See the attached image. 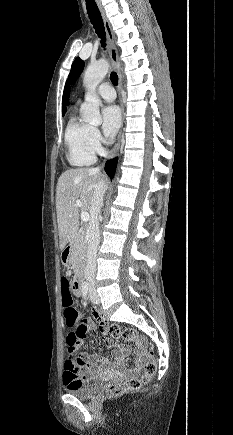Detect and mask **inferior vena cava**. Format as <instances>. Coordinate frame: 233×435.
<instances>
[{"label": "inferior vena cava", "mask_w": 233, "mask_h": 435, "mask_svg": "<svg viewBox=\"0 0 233 435\" xmlns=\"http://www.w3.org/2000/svg\"><path fill=\"white\" fill-rule=\"evenodd\" d=\"M100 168H94L95 172H99ZM106 191V185L99 183L94 189V193L91 199L90 214L91 220L86 232L87 240V265L85 268V278L90 283L94 282L96 272V256L100 243V230L98 214L103 205V197Z\"/></svg>", "instance_id": "inferior-vena-cava-1"}]
</instances>
